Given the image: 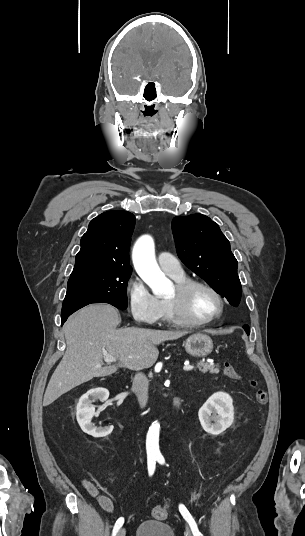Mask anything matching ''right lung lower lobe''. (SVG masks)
Listing matches in <instances>:
<instances>
[{
  "instance_id": "obj_1",
  "label": "right lung lower lobe",
  "mask_w": 305,
  "mask_h": 536,
  "mask_svg": "<svg viewBox=\"0 0 305 536\" xmlns=\"http://www.w3.org/2000/svg\"><path fill=\"white\" fill-rule=\"evenodd\" d=\"M86 305H74V306H66V307H62V312H61V321H62V324L67 320V318L72 314L74 313L75 311H77L78 309L84 307Z\"/></svg>"
}]
</instances>
